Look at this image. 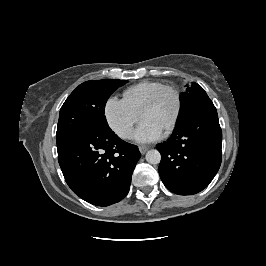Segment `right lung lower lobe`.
<instances>
[{"label": "right lung lower lobe", "mask_w": 266, "mask_h": 266, "mask_svg": "<svg viewBox=\"0 0 266 266\" xmlns=\"http://www.w3.org/2000/svg\"><path fill=\"white\" fill-rule=\"evenodd\" d=\"M57 150L68 186L97 206L117 203L128 194L141 157L137 146L121 140L110 128L75 138Z\"/></svg>", "instance_id": "98d812e1"}]
</instances>
